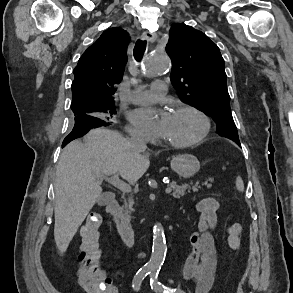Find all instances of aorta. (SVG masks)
Wrapping results in <instances>:
<instances>
[{"label":"aorta","mask_w":293,"mask_h":293,"mask_svg":"<svg viewBox=\"0 0 293 293\" xmlns=\"http://www.w3.org/2000/svg\"><path fill=\"white\" fill-rule=\"evenodd\" d=\"M170 67V59L165 52L152 51L144 61L142 74L145 77L152 78L164 74ZM166 240L164 230L161 224H155L153 227V246L152 254L147 268L150 271L160 269L166 256Z\"/></svg>","instance_id":"obj_1"}]
</instances>
